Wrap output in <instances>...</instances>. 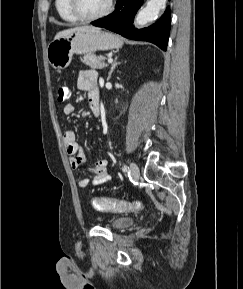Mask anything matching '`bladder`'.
<instances>
[{
    "label": "bladder",
    "instance_id": "1",
    "mask_svg": "<svg viewBox=\"0 0 243 289\" xmlns=\"http://www.w3.org/2000/svg\"><path fill=\"white\" fill-rule=\"evenodd\" d=\"M134 218L130 216H117L111 220L110 226L113 229H124L131 226L134 223Z\"/></svg>",
    "mask_w": 243,
    "mask_h": 289
}]
</instances>
